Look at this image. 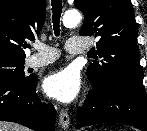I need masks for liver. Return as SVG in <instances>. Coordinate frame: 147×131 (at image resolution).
Wrapping results in <instances>:
<instances>
[{"instance_id": "6515ba94", "label": "liver", "mask_w": 147, "mask_h": 131, "mask_svg": "<svg viewBox=\"0 0 147 131\" xmlns=\"http://www.w3.org/2000/svg\"><path fill=\"white\" fill-rule=\"evenodd\" d=\"M0 131H29V130L16 123L0 121Z\"/></svg>"}]
</instances>
